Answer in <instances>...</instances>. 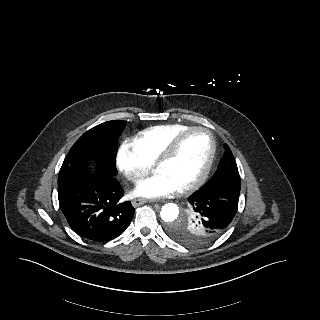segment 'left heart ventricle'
Instances as JSON below:
<instances>
[{
	"instance_id": "1",
	"label": "left heart ventricle",
	"mask_w": 320,
	"mask_h": 320,
	"mask_svg": "<svg viewBox=\"0 0 320 320\" xmlns=\"http://www.w3.org/2000/svg\"><path fill=\"white\" fill-rule=\"evenodd\" d=\"M210 152L209 137L203 132L188 135L176 154L157 170L167 175L179 188L195 180L202 172Z\"/></svg>"
}]
</instances>
